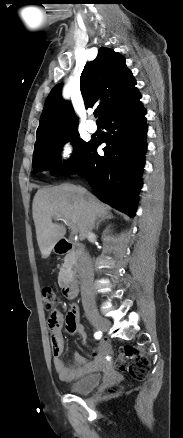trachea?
I'll return each instance as SVG.
<instances>
[{"mask_svg":"<svg viewBox=\"0 0 183 438\" xmlns=\"http://www.w3.org/2000/svg\"><path fill=\"white\" fill-rule=\"evenodd\" d=\"M94 116L97 117L98 116V111L94 112Z\"/></svg>","mask_w":183,"mask_h":438,"instance_id":"obj_1","label":"trachea"}]
</instances>
